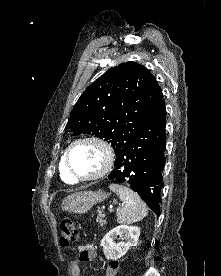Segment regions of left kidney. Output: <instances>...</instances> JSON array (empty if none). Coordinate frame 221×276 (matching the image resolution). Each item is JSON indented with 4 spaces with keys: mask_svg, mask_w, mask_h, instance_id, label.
<instances>
[{
    "mask_svg": "<svg viewBox=\"0 0 221 276\" xmlns=\"http://www.w3.org/2000/svg\"><path fill=\"white\" fill-rule=\"evenodd\" d=\"M140 228L136 226L119 225L109 231L101 241L106 259H119L124 256L132 246L137 245ZM125 237L126 242L115 243V239ZM119 237V238H118Z\"/></svg>",
    "mask_w": 221,
    "mask_h": 276,
    "instance_id": "obj_1",
    "label": "left kidney"
}]
</instances>
